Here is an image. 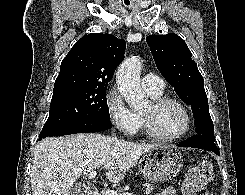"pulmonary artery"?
I'll use <instances>...</instances> for the list:
<instances>
[{
  "mask_svg": "<svg viewBox=\"0 0 245 195\" xmlns=\"http://www.w3.org/2000/svg\"><path fill=\"white\" fill-rule=\"evenodd\" d=\"M141 85L150 93H161L165 88L164 81L153 73L145 74L141 79Z\"/></svg>",
  "mask_w": 245,
  "mask_h": 195,
  "instance_id": "obj_1",
  "label": "pulmonary artery"
}]
</instances>
